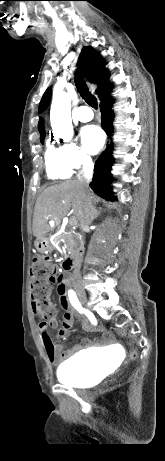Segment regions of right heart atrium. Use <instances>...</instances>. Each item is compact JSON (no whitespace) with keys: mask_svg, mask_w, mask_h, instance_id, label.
<instances>
[{"mask_svg":"<svg viewBox=\"0 0 165 461\" xmlns=\"http://www.w3.org/2000/svg\"><path fill=\"white\" fill-rule=\"evenodd\" d=\"M60 150L64 162L71 170L86 168L91 164V157L74 143H64Z\"/></svg>","mask_w":165,"mask_h":461,"instance_id":"1","label":"right heart atrium"}]
</instances>
